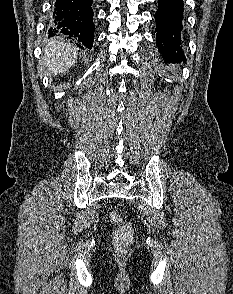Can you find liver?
Listing matches in <instances>:
<instances>
[{"mask_svg":"<svg viewBox=\"0 0 233 294\" xmlns=\"http://www.w3.org/2000/svg\"><path fill=\"white\" fill-rule=\"evenodd\" d=\"M77 59V49L63 41L51 39L43 48L40 60L49 75H57L67 71Z\"/></svg>","mask_w":233,"mask_h":294,"instance_id":"obj_1","label":"liver"}]
</instances>
